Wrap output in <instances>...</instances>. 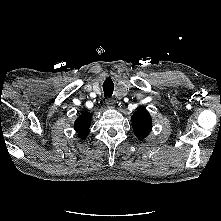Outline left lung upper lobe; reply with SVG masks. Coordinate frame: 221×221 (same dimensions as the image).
<instances>
[{
    "instance_id": "obj_1",
    "label": "left lung upper lobe",
    "mask_w": 221,
    "mask_h": 221,
    "mask_svg": "<svg viewBox=\"0 0 221 221\" xmlns=\"http://www.w3.org/2000/svg\"><path fill=\"white\" fill-rule=\"evenodd\" d=\"M131 120L136 137L140 140L146 138L152 129L150 114L144 109H139L133 114Z\"/></svg>"
}]
</instances>
